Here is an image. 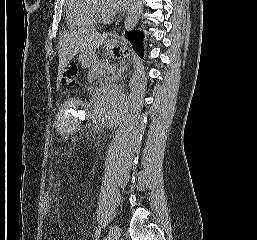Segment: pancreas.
<instances>
[{
	"label": "pancreas",
	"instance_id": "pancreas-1",
	"mask_svg": "<svg viewBox=\"0 0 257 240\" xmlns=\"http://www.w3.org/2000/svg\"><path fill=\"white\" fill-rule=\"evenodd\" d=\"M102 78H110L109 64L106 60L96 61L88 72L89 82L100 80Z\"/></svg>",
	"mask_w": 257,
	"mask_h": 240
}]
</instances>
